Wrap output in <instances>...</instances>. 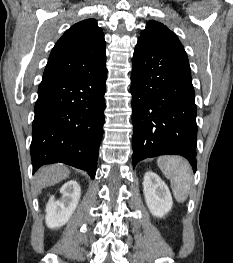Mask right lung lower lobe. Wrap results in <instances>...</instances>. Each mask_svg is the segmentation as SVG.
Listing matches in <instances>:
<instances>
[{"label": "right lung lower lobe", "mask_w": 233, "mask_h": 263, "mask_svg": "<svg viewBox=\"0 0 233 263\" xmlns=\"http://www.w3.org/2000/svg\"><path fill=\"white\" fill-rule=\"evenodd\" d=\"M105 62L86 76L40 83L30 146L33 172L63 162L95 177L104 124Z\"/></svg>", "instance_id": "98d812e1"}]
</instances>
